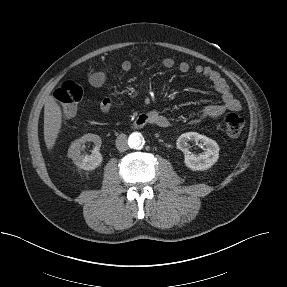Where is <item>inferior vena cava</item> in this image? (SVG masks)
Returning a JSON list of instances; mask_svg holds the SVG:
<instances>
[{"label":"inferior vena cava","instance_id":"602c4592","mask_svg":"<svg viewBox=\"0 0 287 287\" xmlns=\"http://www.w3.org/2000/svg\"><path fill=\"white\" fill-rule=\"evenodd\" d=\"M116 147L120 152H124L128 149L127 136L120 134L116 139Z\"/></svg>","mask_w":287,"mask_h":287}]
</instances>
